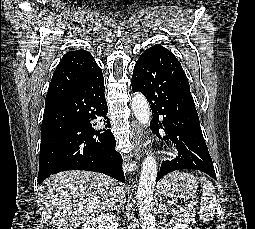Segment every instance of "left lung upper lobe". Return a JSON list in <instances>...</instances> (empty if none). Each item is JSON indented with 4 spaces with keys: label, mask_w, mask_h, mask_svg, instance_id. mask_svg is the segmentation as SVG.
Listing matches in <instances>:
<instances>
[{
    "label": "left lung upper lobe",
    "mask_w": 255,
    "mask_h": 229,
    "mask_svg": "<svg viewBox=\"0 0 255 229\" xmlns=\"http://www.w3.org/2000/svg\"><path fill=\"white\" fill-rule=\"evenodd\" d=\"M159 51H169V50H167L166 48H164L163 46H161L159 44H156L155 46L150 47L149 49H147L142 55L157 53Z\"/></svg>",
    "instance_id": "1"
}]
</instances>
